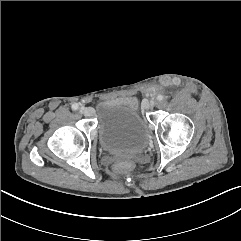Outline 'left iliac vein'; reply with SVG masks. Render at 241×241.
<instances>
[{
  "mask_svg": "<svg viewBox=\"0 0 241 241\" xmlns=\"http://www.w3.org/2000/svg\"><path fill=\"white\" fill-rule=\"evenodd\" d=\"M157 104L156 100L155 99H152L150 101H146L143 106L145 109H150V108H153L155 105Z\"/></svg>",
  "mask_w": 241,
  "mask_h": 241,
  "instance_id": "left-iliac-vein-1",
  "label": "left iliac vein"
}]
</instances>
